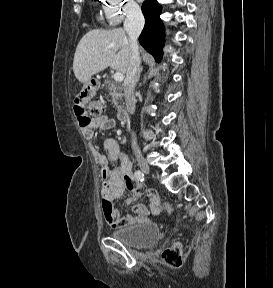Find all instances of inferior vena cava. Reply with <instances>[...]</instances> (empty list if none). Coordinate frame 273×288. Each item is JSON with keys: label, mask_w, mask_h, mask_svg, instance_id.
Returning a JSON list of instances; mask_svg holds the SVG:
<instances>
[{"label": "inferior vena cava", "mask_w": 273, "mask_h": 288, "mask_svg": "<svg viewBox=\"0 0 273 288\" xmlns=\"http://www.w3.org/2000/svg\"><path fill=\"white\" fill-rule=\"evenodd\" d=\"M144 16L138 5H131L127 9V16L124 21V30L129 37L130 58L129 66L124 80V97L126 102V110L133 114L135 111V85L138 81V73L140 69V57L138 51L137 39L144 27ZM132 148L135 153H139L137 141L134 133H132Z\"/></svg>", "instance_id": "602c4592"}]
</instances>
